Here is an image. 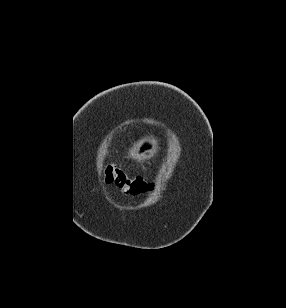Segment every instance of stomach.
I'll list each match as a JSON object with an SVG mask.
<instances>
[{
  "label": "stomach",
  "instance_id": "stomach-1",
  "mask_svg": "<svg viewBox=\"0 0 286 308\" xmlns=\"http://www.w3.org/2000/svg\"><path fill=\"white\" fill-rule=\"evenodd\" d=\"M149 138H160V131H149ZM119 149H136L132 153V158L144 161L148 158L150 149H139V142H119Z\"/></svg>",
  "mask_w": 286,
  "mask_h": 308
}]
</instances>
